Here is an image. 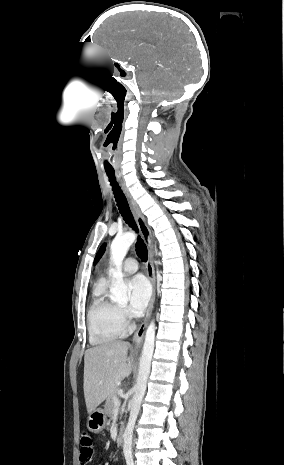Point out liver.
<instances>
[{
    "instance_id": "1",
    "label": "liver",
    "mask_w": 284,
    "mask_h": 465,
    "mask_svg": "<svg viewBox=\"0 0 284 465\" xmlns=\"http://www.w3.org/2000/svg\"><path fill=\"white\" fill-rule=\"evenodd\" d=\"M130 343L109 341L87 349L84 355V397L87 413L95 411L113 389L132 373Z\"/></svg>"
}]
</instances>
